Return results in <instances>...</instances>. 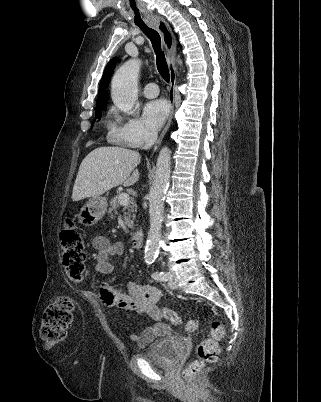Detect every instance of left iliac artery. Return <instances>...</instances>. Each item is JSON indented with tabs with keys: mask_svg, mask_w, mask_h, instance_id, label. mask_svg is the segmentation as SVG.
I'll return each instance as SVG.
<instances>
[{
	"mask_svg": "<svg viewBox=\"0 0 321 402\" xmlns=\"http://www.w3.org/2000/svg\"><path fill=\"white\" fill-rule=\"evenodd\" d=\"M170 277L168 272H155L152 274V278L157 281H168Z\"/></svg>",
	"mask_w": 321,
	"mask_h": 402,
	"instance_id": "left-iliac-artery-1",
	"label": "left iliac artery"
}]
</instances>
